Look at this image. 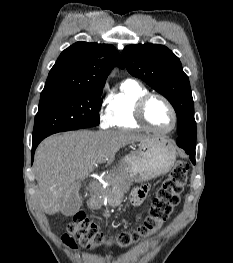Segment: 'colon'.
<instances>
[{
    "instance_id": "5ec220e1",
    "label": "colon",
    "mask_w": 233,
    "mask_h": 263,
    "mask_svg": "<svg viewBox=\"0 0 233 263\" xmlns=\"http://www.w3.org/2000/svg\"><path fill=\"white\" fill-rule=\"evenodd\" d=\"M187 172L186 162L178 161L174 165L157 190L148 216L135 230L123 232L114 237L107 236L89 222L83 214L77 213L69 223L63 240L70 246L78 243L86 248L97 247L113 241L127 247L142 237L154 234L157 228L170 216L174 206L179 203L180 193L187 182Z\"/></svg>"
}]
</instances>
